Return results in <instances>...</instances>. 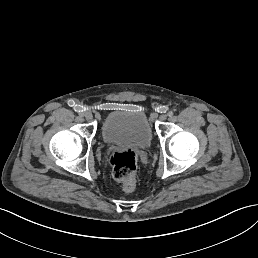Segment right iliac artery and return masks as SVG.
<instances>
[{
    "mask_svg": "<svg viewBox=\"0 0 258 258\" xmlns=\"http://www.w3.org/2000/svg\"><path fill=\"white\" fill-rule=\"evenodd\" d=\"M79 116L83 117V116H84V113L80 112V113H79Z\"/></svg>",
    "mask_w": 258,
    "mask_h": 258,
    "instance_id": "obj_1",
    "label": "right iliac artery"
}]
</instances>
